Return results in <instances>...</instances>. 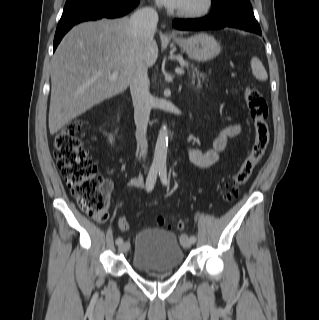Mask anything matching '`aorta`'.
<instances>
[{
  "label": "aorta",
  "mask_w": 319,
  "mask_h": 320,
  "mask_svg": "<svg viewBox=\"0 0 319 320\" xmlns=\"http://www.w3.org/2000/svg\"><path fill=\"white\" fill-rule=\"evenodd\" d=\"M168 150V131L165 125H163L159 131L157 142L155 145L153 164L158 167L166 166Z\"/></svg>",
  "instance_id": "762f6f07"
}]
</instances>
